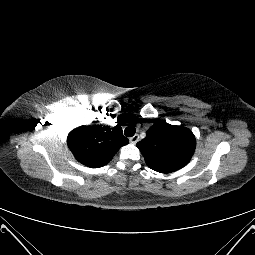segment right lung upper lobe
Instances as JSON below:
<instances>
[{"instance_id": "right-lung-upper-lobe-1", "label": "right lung upper lobe", "mask_w": 255, "mask_h": 255, "mask_svg": "<svg viewBox=\"0 0 255 255\" xmlns=\"http://www.w3.org/2000/svg\"><path fill=\"white\" fill-rule=\"evenodd\" d=\"M128 142L120 126H81L72 130L67 138L68 147L75 158L91 168L109 163L115 153Z\"/></svg>"}]
</instances>
